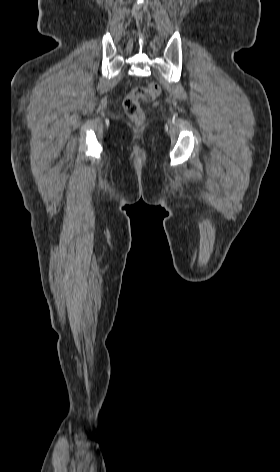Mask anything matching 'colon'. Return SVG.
Returning <instances> with one entry per match:
<instances>
[{
    "label": "colon",
    "mask_w": 280,
    "mask_h": 472,
    "mask_svg": "<svg viewBox=\"0 0 280 472\" xmlns=\"http://www.w3.org/2000/svg\"><path fill=\"white\" fill-rule=\"evenodd\" d=\"M161 92L157 83L132 88L123 101V107L127 116L136 123L144 121V111L140 105L141 101H153Z\"/></svg>",
    "instance_id": "obj_1"
}]
</instances>
